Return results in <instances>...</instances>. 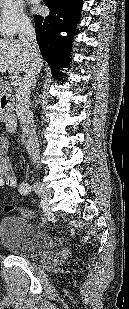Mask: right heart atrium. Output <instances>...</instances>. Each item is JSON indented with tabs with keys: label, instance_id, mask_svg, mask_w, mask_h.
Returning a JSON list of instances; mask_svg holds the SVG:
<instances>
[{
	"label": "right heart atrium",
	"instance_id": "right-heart-atrium-1",
	"mask_svg": "<svg viewBox=\"0 0 129 309\" xmlns=\"http://www.w3.org/2000/svg\"><path fill=\"white\" fill-rule=\"evenodd\" d=\"M31 27L22 0H0V35L11 38Z\"/></svg>",
	"mask_w": 129,
	"mask_h": 309
}]
</instances>
